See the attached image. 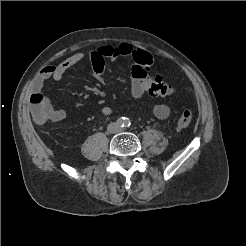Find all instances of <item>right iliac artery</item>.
I'll use <instances>...</instances> for the list:
<instances>
[{"label":"right iliac artery","mask_w":246,"mask_h":246,"mask_svg":"<svg viewBox=\"0 0 246 246\" xmlns=\"http://www.w3.org/2000/svg\"><path fill=\"white\" fill-rule=\"evenodd\" d=\"M124 118H120V119H118L117 121H116V124L118 125V126H121V127H123L124 126Z\"/></svg>","instance_id":"82829eb1"}]
</instances>
